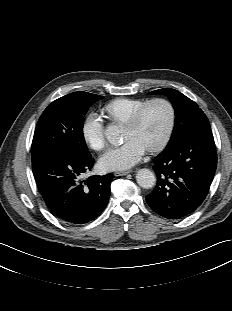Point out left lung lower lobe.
I'll list each match as a JSON object with an SVG mask.
<instances>
[{
  "mask_svg": "<svg viewBox=\"0 0 232 311\" xmlns=\"http://www.w3.org/2000/svg\"><path fill=\"white\" fill-rule=\"evenodd\" d=\"M217 165L210 125L187 133L154 159L155 189L146 196L159 215L179 219L196 210L204 201Z\"/></svg>",
  "mask_w": 232,
  "mask_h": 311,
  "instance_id": "1",
  "label": "left lung lower lobe"
}]
</instances>
